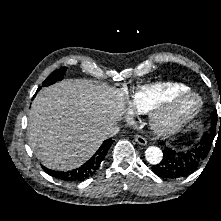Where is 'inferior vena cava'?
Returning a JSON list of instances; mask_svg holds the SVG:
<instances>
[{
	"mask_svg": "<svg viewBox=\"0 0 221 221\" xmlns=\"http://www.w3.org/2000/svg\"><path fill=\"white\" fill-rule=\"evenodd\" d=\"M120 131V128L117 126V125H112V126H109L103 133V137L105 139L107 138H110V137H113L115 136L116 134H118Z\"/></svg>",
	"mask_w": 221,
	"mask_h": 221,
	"instance_id": "1",
	"label": "inferior vena cava"
}]
</instances>
